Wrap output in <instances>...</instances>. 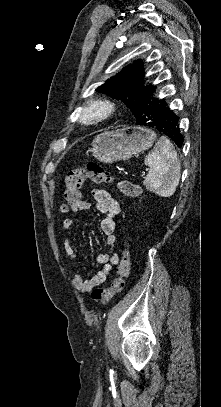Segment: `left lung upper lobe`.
<instances>
[{
	"mask_svg": "<svg viewBox=\"0 0 221 407\" xmlns=\"http://www.w3.org/2000/svg\"><path fill=\"white\" fill-rule=\"evenodd\" d=\"M143 82V65L137 60L124 67L115 77L107 80L96 90L121 99L135 116L140 106L141 95L150 87H144Z\"/></svg>",
	"mask_w": 221,
	"mask_h": 407,
	"instance_id": "5c2ea615",
	"label": "left lung upper lobe"
}]
</instances>
